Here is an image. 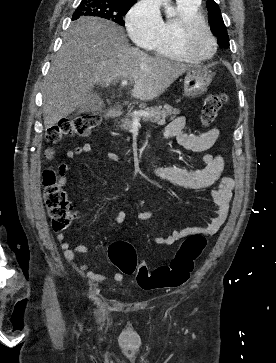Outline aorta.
I'll use <instances>...</instances> for the list:
<instances>
[{
    "mask_svg": "<svg viewBox=\"0 0 276 363\" xmlns=\"http://www.w3.org/2000/svg\"><path fill=\"white\" fill-rule=\"evenodd\" d=\"M163 6L167 17H174L176 15V11L173 6H171L169 0H163Z\"/></svg>",
    "mask_w": 276,
    "mask_h": 363,
    "instance_id": "762f6f07",
    "label": "aorta"
}]
</instances>
